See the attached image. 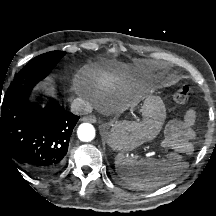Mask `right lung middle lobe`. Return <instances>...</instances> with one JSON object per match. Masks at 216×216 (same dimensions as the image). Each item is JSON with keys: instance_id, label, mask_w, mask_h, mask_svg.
Wrapping results in <instances>:
<instances>
[{"instance_id": "1", "label": "right lung middle lobe", "mask_w": 216, "mask_h": 216, "mask_svg": "<svg viewBox=\"0 0 216 216\" xmlns=\"http://www.w3.org/2000/svg\"><path fill=\"white\" fill-rule=\"evenodd\" d=\"M64 54L65 52L61 51H51L29 61L15 76L14 81L2 97V103L31 91L40 80L51 72Z\"/></svg>"}]
</instances>
